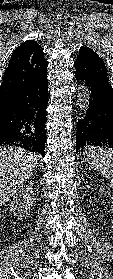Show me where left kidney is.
Listing matches in <instances>:
<instances>
[{
    "label": "left kidney",
    "mask_w": 113,
    "mask_h": 279,
    "mask_svg": "<svg viewBox=\"0 0 113 279\" xmlns=\"http://www.w3.org/2000/svg\"><path fill=\"white\" fill-rule=\"evenodd\" d=\"M100 192H103V193H104V190H103V189H100Z\"/></svg>",
    "instance_id": "obj_1"
}]
</instances>
